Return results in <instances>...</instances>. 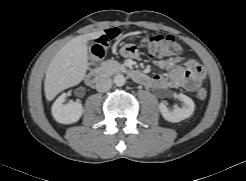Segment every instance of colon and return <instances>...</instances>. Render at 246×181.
I'll return each mask as SVG.
<instances>
[{"instance_id":"1","label":"colon","mask_w":246,"mask_h":181,"mask_svg":"<svg viewBox=\"0 0 246 181\" xmlns=\"http://www.w3.org/2000/svg\"><path fill=\"white\" fill-rule=\"evenodd\" d=\"M118 36L116 29H110L106 34L98 37L91 46V59L92 62L101 60L107 53L110 43ZM141 44L147 52L154 58H160L169 55H177L181 52L180 45L175 41L173 36L170 35H144L141 37ZM190 69L200 74L202 72L201 65L193 61L190 64ZM196 98L204 100L207 97V90L205 88L197 89Z\"/></svg>"}]
</instances>
